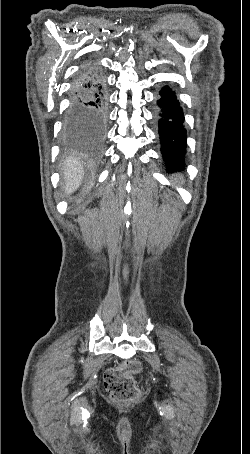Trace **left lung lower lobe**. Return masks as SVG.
I'll return each instance as SVG.
<instances>
[{
	"instance_id": "obj_1",
	"label": "left lung lower lobe",
	"mask_w": 250,
	"mask_h": 454,
	"mask_svg": "<svg viewBox=\"0 0 250 454\" xmlns=\"http://www.w3.org/2000/svg\"><path fill=\"white\" fill-rule=\"evenodd\" d=\"M159 135L161 152L168 172L182 170L185 167L186 130L184 117L175 93L165 86L160 91Z\"/></svg>"
}]
</instances>
